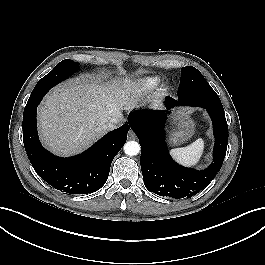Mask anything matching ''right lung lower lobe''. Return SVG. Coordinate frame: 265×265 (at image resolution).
<instances>
[{"label":"right lung lower lobe","mask_w":265,"mask_h":265,"mask_svg":"<svg viewBox=\"0 0 265 265\" xmlns=\"http://www.w3.org/2000/svg\"><path fill=\"white\" fill-rule=\"evenodd\" d=\"M46 93H40L23 114V142L37 174L55 189L68 194L92 193L106 182L115 155L127 140L128 124L107 133L83 153L59 158L44 149L36 125L37 106Z\"/></svg>","instance_id":"obj_1"}]
</instances>
